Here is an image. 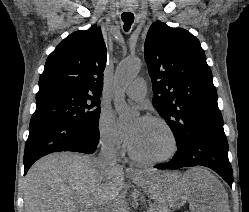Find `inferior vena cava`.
Returning a JSON list of instances; mask_svg holds the SVG:
<instances>
[{
  "label": "inferior vena cava",
  "mask_w": 249,
  "mask_h": 212,
  "mask_svg": "<svg viewBox=\"0 0 249 212\" xmlns=\"http://www.w3.org/2000/svg\"><path fill=\"white\" fill-rule=\"evenodd\" d=\"M95 162L98 166H103V168H108V166L117 168V150H115L114 144L102 142L100 152L97 158H95Z\"/></svg>",
  "instance_id": "602c4592"
}]
</instances>
